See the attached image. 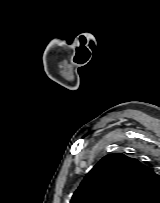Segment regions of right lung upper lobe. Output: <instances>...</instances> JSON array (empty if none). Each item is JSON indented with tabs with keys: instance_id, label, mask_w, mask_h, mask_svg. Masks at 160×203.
Segmentation results:
<instances>
[{
	"instance_id": "right-lung-upper-lobe-1",
	"label": "right lung upper lobe",
	"mask_w": 160,
	"mask_h": 203,
	"mask_svg": "<svg viewBox=\"0 0 160 203\" xmlns=\"http://www.w3.org/2000/svg\"><path fill=\"white\" fill-rule=\"evenodd\" d=\"M159 177L135 158L109 154L86 175L70 203H150L160 196Z\"/></svg>"
}]
</instances>
